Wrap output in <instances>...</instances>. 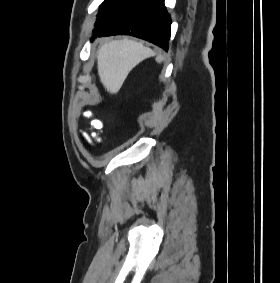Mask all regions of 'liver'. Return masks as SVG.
Returning a JSON list of instances; mask_svg holds the SVG:
<instances>
[{"label": "liver", "mask_w": 280, "mask_h": 283, "mask_svg": "<svg viewBox=\"0 0 280 283\" xmlns=\"http://www.w3.org/2000/svg\"><path fill=\"white\" fill-rule=\"evenodd\" d=\"M154 52L130 39L113 40L102 45L97 54V69L101 83L111 94L119 91L129 72Z\"/></svg>", "instance_id": "1"}]
</instances>
